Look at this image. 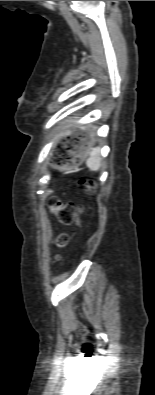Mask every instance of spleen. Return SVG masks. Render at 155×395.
Masks as SVG:
<instances>
[{"label":"spleen","mask_w":155,"mask_h":395,"mask_svg":"<svg viewBox=\"0 0 155 395\" xmlns=\"http://www.w3.org/2000/svg\"><path fill=\"white\" fill-rule=\"evenodd\" d=\"M100 149L94 148L90 151V157L87 159V166L94 171L99 170L100 168Z\"/></svg>","instance_id":"1"}]
</instances>
